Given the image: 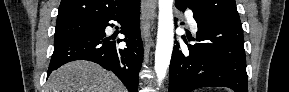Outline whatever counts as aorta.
Masks as SVG:
<instances>
[{"label": "aorta", "instance_id": "1", "mask_svg": "<svg viewBox=\"0 0 289 92\" xmlns=\"http://www.w3.org/2000/svg\"><path fill=\"white\" fill-rule=\"evenodd\" d=\"M158 32L155 51V72L159 84L165 78L170 64L173 42V0H159Z\"/></svg>", "mask_w": 289, "mask_h": 92}]
</instances>
